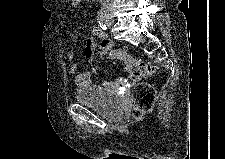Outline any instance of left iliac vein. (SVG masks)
Listing matches in <instances>:
<instances>
[{"label": "left iliac vein", "mask_w": 225, "mask_h": 159, "mask_svg": "<svg viewBox=\"0 0 225 159\" xmlns=\"http://www.w3.org/2000/svg\"><path fill=\"white\" fill-rule=\"evenodd\" d=\"M106 23H107L108 26H111L113 24L112 16H107Z\"/></svg>", "instance_id": "left-iliac-vein-1"}]
</instances>
